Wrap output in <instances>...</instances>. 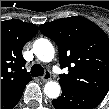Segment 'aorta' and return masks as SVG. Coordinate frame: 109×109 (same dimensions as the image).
<instances>
[{
	"mask_svg": "<svg viewBox=\"0 0 109 109\" xmlns=\"http://www.w3.org/2000/svg\"><path fill=\"white\" fill-rule=\"evenodd\" d=\"M33 51L36 57L42 62H50L53 60L55 50L51 42L47 39H37L33 44ZM61 87L58 82L49 81L44 86V93L50 99H56L59 97Z\"/></svg>",
	"mask_w": 109,
	"mask_h": 109,
	"instance_id": "aorta-1",
	"label": "aorta"
}]
</instances>
